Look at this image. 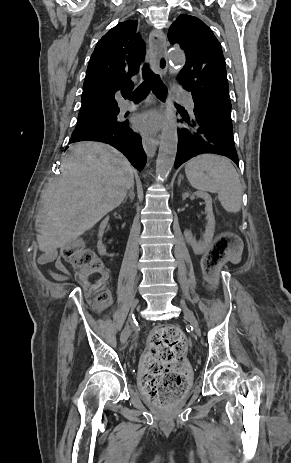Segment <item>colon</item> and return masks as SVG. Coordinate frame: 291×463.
I'll use <instances>...</instances> for the list:
<instances>
[{"label":"colon","mask_w":291,"mask_h":463,"mask_svg":"<svg viewBox=\"0 0 291 463\" xmlns=\"http://www.w3.org/2000/svg\"><path fill=\"white\" fill-rule=\"evenodd\" d=\"M238 247L236 234H221L204 256L206 274L213 276L225 257L235 254ZM61 257L74 269L92 304L96 308L107 306L111 301V294L105 288L108 273L95 253L82 242L74 241L61 248ZM187 346L185 335L174 325L160 327L151 334L148 350L141 361V386L152 402L169 407L185 392L188 386Z\"/></svg>","instance_id":"1"}]
</instances>
